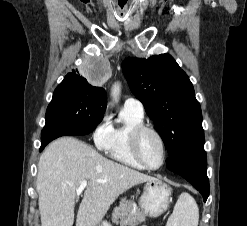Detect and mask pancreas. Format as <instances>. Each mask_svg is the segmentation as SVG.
<instances>
[{
  "mask_svg": "<svg viewBox=\"0 0 247 226\" xmlns=\"http://www.w3.org/2000/svg\"><path fill=\"white\" fill-rule=\"evenodd\" d=\"M145 221V216L139 211L136 204L126 198L121 199L120 205L115 207L112 213V222L122 226Z\"/></svg>",
  "mask_w": 247,
  "mask_h": 226,
  "instance_id": "pancreas-1",
  "label": "pancreas"
}]
</instances>
